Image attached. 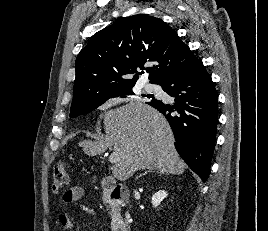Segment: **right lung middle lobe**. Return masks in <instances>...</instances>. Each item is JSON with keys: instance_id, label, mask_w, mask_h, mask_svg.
<instances>
[{"instance_id": "dd1d6c3e", "label": "right lung middle lobe", "mask_w": 268, "mask_h": 231, "mask_svg": "<svg viewBox=\"0 0 268 231\" xmlns=\"http://www.w3.org/2000/svg\"><path fill=\"white\" fill-rule=\"evenodd\" d=\"M132 87L120 89L110 95H107L99 100L93 101V102H87V103H72L71 105V111H70V117L75 118L79 115L87 114L91 112L92 110L96 109L98 106L102 105L104 102H106L108 99L113 97H125L129 95H133Z\"/></svg>"}]
</instances>
